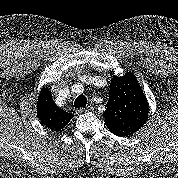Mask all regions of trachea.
Here are the masks:
<instances>
[{
  "mask_svg": "<svg viewBox=\"0 0 178 178\" xmlns=\"http://www.w3.org/2000/svg\"><path fill=\"white\" fill-rule=\"evenodd\" d=\"M87 104V98L84 95H80L75 99L74 107L75 108H84Z\"/></svg>",
  "mask_w": 178,
  "mask_h": 178,
  "instance_id": "obj_1",
  "label": "trachea"
}]
</instances>
